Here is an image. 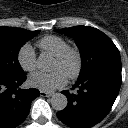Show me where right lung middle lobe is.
<instances>
[{
	"instance_id": "dd1d6c3e",
	"label": "right lung middle lobe",
	"mask_w": 128,
	"mask_h": 128,
	"mask_svg": "<svg viewBox=\"0 0 128 128\" xmlns=\"http://www.w3.org/2000/svg\"><path fill=\"white\" fill-rule=\"evenodd\" d=\"M39 32L40 30L28 31L22 28L0 27V77L14 78L24 74L17 59L18 52Z\"/></svg>"
}]
</instances>
